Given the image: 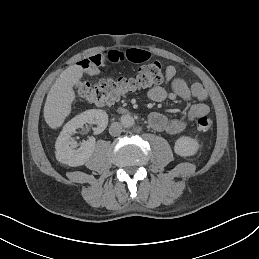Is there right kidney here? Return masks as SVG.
<instances>
[{"mask_svg": "<svg viewBox=\"0 0 259 259\" xmlns=\"http://www.w3.org/2000/svg\"><path fill=\"white\" fill-rule=\"evenodd\" d=\"M86 123L96 124L97 127L94 131L96 134H100L105 130L108 124V115L103 110L91 109L70 120L64 126L63 131L56 141L55 155L58 162L70 167H79L83 166L87 160L91 158L95 150L94 138L83 142L80 150H73L76 143H73L72 147H69V140L72 138V135Z\"/></svg>", "mask_w": 259, "mask_h": 259, "instance_id": "right-kidney-1", "label": "right kidney"}]
</instances>
